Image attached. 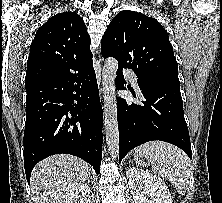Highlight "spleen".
<instances>
[{
	"instance_id": "obj_1",
	"label": "spleen",
	"mask_w": 222,
	"mask_h": 203,
	"mask_svg": "<svg viewBox=\"0 0 222 203\" xmlns=\"http://www.w3.org/2000/svg\"><path fill=\"white\" fill-rule=\"evenodd\" d=\"M135 161L166 178L180 193L189 187L192 174L191 161L178 147L163 141H150L135 150Z\"/></svg>"
}]
</instances>
